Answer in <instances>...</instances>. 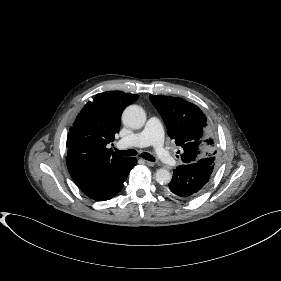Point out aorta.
Instances as JSON below:
<instances>
[{"label": "aorta", "instance_id": "1", "mask_svg": "<svg viewBox=\"0 0 281 281\" xmlns=\"http://www.w3.org/2000/svg\"><path fill=\"white\" fill-rule=\"evenodd\" d=\"M122 120L126 126L139 129L146 121V114L140 106L130 105L124 110ZM155 179L159 184H168L172 179V175L168 170L160 168L155 173Z\"/></svg>", "mask_w": 281, "mask_h": 281}]
</instances>
